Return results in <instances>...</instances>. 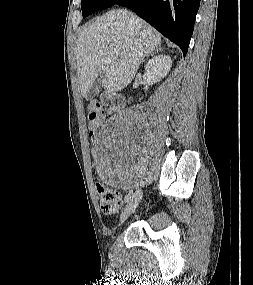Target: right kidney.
Listing matches in <instances>:
<instances>
[{"instance_id": "obj_1", "label": "right kidney", "mask_w": 253, "mask_h": 285, "mask_svg": "<svg viewBox=\"0 0 253 285\" xmlns=\"http://www.w3.org/2000/svg\"><path fill=\"white\" fill-rule=\"evenodd\" d=\"M172 60L170 56L160 54L153 57L145 66L143 75L148 85H153L167 76L171 69Z\"/></svg>"}]
</instances>
